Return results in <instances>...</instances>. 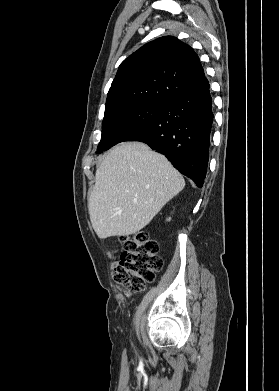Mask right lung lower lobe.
<instances>
[{
    "instance_id": "right-lung-lower-lobe-1",
    "label": "right lung lower lobe",
    "mask_w": 279,
    "mask_h": 391,
    "mask_svg": "<svg viewBox=\"0 0 279 391\" xmlns=\"http://www.w3.org/2000/svg\"><path fill=\"white\" fill-rule=\"evenodd\" d=\"M213 123L209 82H201L163 104L155 118L124 141H142L202 187Z\"/></svg>"
}]
</instances>
